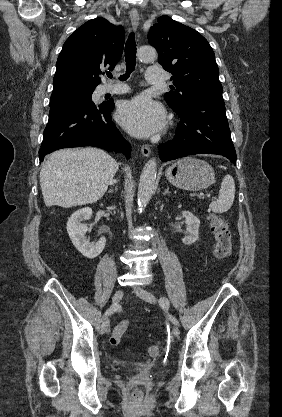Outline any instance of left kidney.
I'll use <instances>...</instances> for the list:
<instances>
[{"instance_id": "obj_1", "label": "left kidney", "mask_w": 282, "mask_h": 417, "mask_svg": "<svg viewBox=\"0 0 282 417\" xmlns=\"http://www.w3.org/2000/svg\"><path fill=\"white\" fill-rule=\"evenodd\" d=\"M181 215L185 217V223H186V235L187 237H184L182 239V243L184 245H192V243H196L198 239V229L200 227V221L193 215V213H189V211H182Z\"/></svg>"}]
</instances>
